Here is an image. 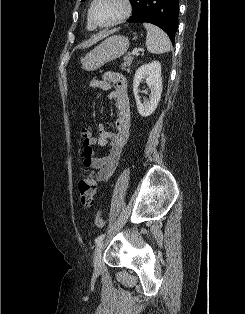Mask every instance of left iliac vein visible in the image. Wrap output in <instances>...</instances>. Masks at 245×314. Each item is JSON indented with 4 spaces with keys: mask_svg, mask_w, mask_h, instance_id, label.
<instances>
[{
    "mask_svg": "<svg viewBox=\"0 0 245 314\" xmlns=\"http://www.w3.org/2000/svg\"><path fill=\"white\" fill-rule=\"evenodd\" d=\"M104 242H100L94 252V268L96 272H100L102 269V250H103Z\"/></svg>",
    "mask_w": 245,
    "mask_h": 314,
    "instance_id": "obj_1",
    "label": "left iliac vein"
}]
</instances>
